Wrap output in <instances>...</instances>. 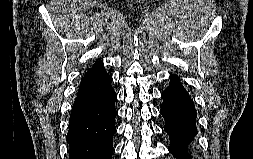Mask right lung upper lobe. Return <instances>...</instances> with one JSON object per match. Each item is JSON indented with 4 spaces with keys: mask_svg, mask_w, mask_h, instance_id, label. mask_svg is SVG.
I'll return each mask as SVG.
<instances>
[{
    "mask_svg": "<svg viewBox=\"0 0 253 159\" xmlns=\"http://www.w3.org/2000/svg\"><path fill=\"white\" fill-rule=\"evenodd\" d=\"M102 65H103L102 62H97V63H95V64L93 65V67H92L89 71L95 70V69L101 67ZM89 71H88V72H89Z\"/></svg>",
    "mask_w": 253,
    "mask_h": 159,
    "instance_id": "obj_1",
    "label": "right lung upper lobe"
}]
</instances>
